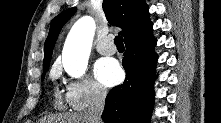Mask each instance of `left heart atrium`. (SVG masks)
<instances>
[{
	"mask_svg": "<svg viewBox=\"0 0 221 123\" xmlns=\"http://www.w3.org/2000/svg\"><path fill=\"white\" fill-rule=\"evenodd\" d=\"M94 75L101 85L111 87L121 81L123 74L116 60L101 58L94 65Z\"/></svg>",
	"mask_w": 221,
	"mask_h": 123,
	"instance_id": "39dd6f15",
	"label": "left heart atrium"
}]
</instances>
